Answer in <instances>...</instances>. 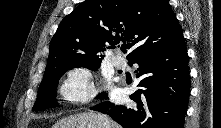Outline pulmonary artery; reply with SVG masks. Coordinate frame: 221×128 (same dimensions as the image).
<instances>
[{
	"label": "pulmonary artery",
	"instance_id": "pulmonary-artery-1",
	"mask_svg": "<svg viewBox=\"0 0 221 128\" xmlns=\"http://www.w3.org/2000/svg\"><path fill=\"white\" fill-rule=\"evenodd\" d=\"M112 62L116 68H124L126 66V60L119 55H114Z\"/></svg>",
	"mask_w": 221,
	"mask_h": 128
}]
</instances>
